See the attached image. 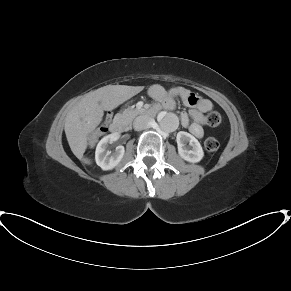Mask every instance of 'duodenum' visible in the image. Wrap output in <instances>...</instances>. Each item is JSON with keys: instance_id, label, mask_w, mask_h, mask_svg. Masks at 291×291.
Masks as SVG:
<instances>
[{"instance_id": "1", "label": "duodenum", "mask_w": 291, "mask_h": 291, "mask_svg": "<svg viewBox=\"0 0 291 291\" xmlns=\"http://www.w3.org/2000/svg\"><path fill=\"white\" fill-rule=\"evenodd\" d=\"M159 110L157 106H151L148 109H145L144 113L148 116H154ZM111 132L114 134H120L125 132L126 130V123L123 119H116L110 125Z\"/></svg>"}]
</instances>
